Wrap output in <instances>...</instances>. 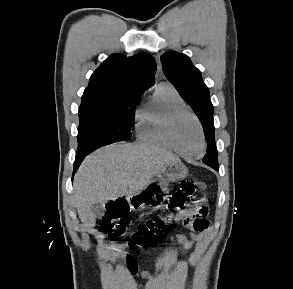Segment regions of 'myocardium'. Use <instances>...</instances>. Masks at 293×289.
Listing matches in <instances>:
<instances>
[{"instance_id": "1", "label": "myocardium", "mask_w": 293, "mask_h": 289, "mask_svg": "<svg viewBox=\"0 0 293 289\" xmlns=\"http://www.w3.org/2000/svg\"><path fill=\"white\" fill-rule=\"evenodd\" d=\"M183 116H190L196 122V124L198 126V129H199V132L201 135V139H202V148H201L200 154L197 156H190V155L185 154L177 145V142L175 139V126H176V122ZM166 135H167L168 142L171 145L172 149L177 154H179L181 157H183L185 159L196 160V159H200L205 154L207 142H206V136H205V132H204L202 123L196 114H194L193 112H191L190 110H188L186 108L176 109L175 111H173L170 114L168 121H167V125H166Z\"/></svg>"}]
</instances>
